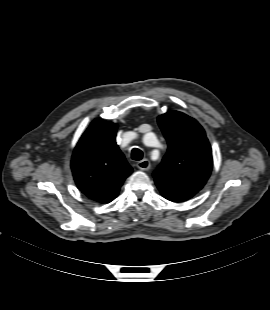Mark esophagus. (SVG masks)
<instances>
[{
  "mask_svg": "<svg viewBox=\"0 0 270 310\" xmlns=\"http://www.w3.org/2000/svg\"><path fill=\"white\" fill-rule=\"evenodd\" d=\"M137 167L140 170L146 171V170H148L150 168V162L147 159H144V160L139 161L137 163Z\"/></svg>",
  "mask_w": 270,
  "mask_h": 310,
  "instance_id": "esophagus-1",
  "label": "esophagus"
}]
</instances>
